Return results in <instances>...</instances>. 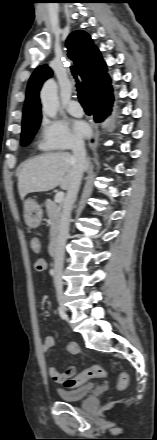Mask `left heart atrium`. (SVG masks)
I'll return each mask as SVG.
<instances>
[{
	"mask_svg": "<svg viewBox=\"0 0 157 440\" xmlns=\"http://www.w3.org/2000/svg\"><path fill=\"white\" fill-rule=\"evenodd\" d=\"M73 131L81 138H87L91 134V128L88 123L82 120H75L72 122Z\"/></svg>",
	"mask_w": 157,
	"mask_h": 440,
	"instance_id": "1",
	"label": "left heart atrium"
}]
</instances>
